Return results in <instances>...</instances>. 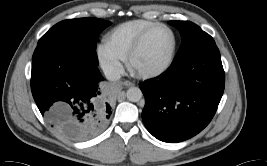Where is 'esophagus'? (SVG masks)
<instances>
[{
  "label": "esophagus",
  "instance_id": "1",
  "mask_svg": "<svg viewBox=\"0 0 267 166\" xmlns=\"http://www.w3.org/2000/svg\"><path fill=\"white\" fill-rule=\"evenodd\" d=\"M123 84L127 87H131L134 86V83L130 82V81H124Z\"/></svg>",
  "mask_w": 267,
  "mask_h": 166
}]
</instances>
